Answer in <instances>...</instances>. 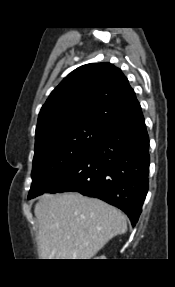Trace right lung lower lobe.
Returning a JSON list of instances; mask_svg holds the SVG:
<instances>
[{"mask_svg": "<svg viewBox=\"0 0 175 287\" xmlns=\"http://www.w3.org/2000/svg\"><path fill=\"white\" fill-rule=\"evenodd\" d=\"M149 163V136L140 110L112 125L83 157L31 198L79 192L121 209L134 226L148 191Z\"/></svg>", "mask_w": 175, "mask_h": 287, "instance_id": "98d812e1", "label": "right lung lower lobe"}]
</instances>
